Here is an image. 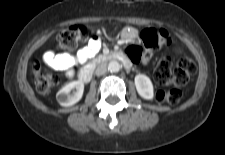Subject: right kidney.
<instances>
[{"label":"right kidney","instance_id":"obj_1","mask_svg":"<svg viewBox=\"0 0 225 155\" xmlns=\"http://www.w3.org/2000/svg\"><path fill=\"white\" fill-rule=\"evenodd\" d=\"M74 90L73 94L70 92ZM84 83L81 81H74L66 84L56 94V99L61 106H72L77 103L83 95Z\"/></svg>","mask_w":225,"mask_h":155}]
</instances>
